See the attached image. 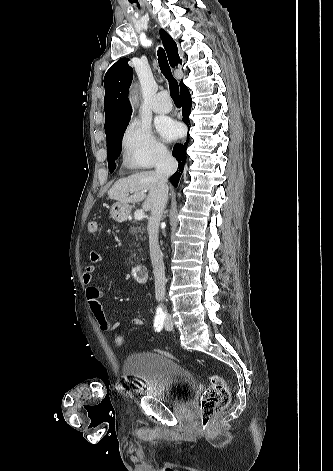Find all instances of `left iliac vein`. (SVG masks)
<instances>
[{"mask_svg":"<svg viewBox=\"0 0 333 471\" xmlns=\"http://www.w3.org/2000/svg\"><path fill=\"white\" fill-rule=\"evenodd\" d=\"M164 327L166 330H169V331L173 329V321L170 315L166 317Z\"/></svg>","mask_w":333,"mask_h":471,"instance_id":"1","label":"left iliac vein"}]
</instances>
